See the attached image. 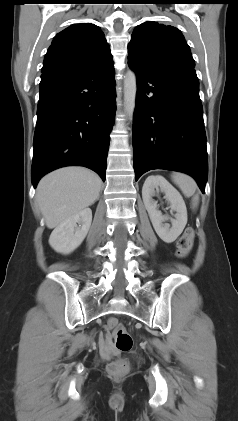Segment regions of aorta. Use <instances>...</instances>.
I'll list each match as a JSON object with an SVG mask.
<instances>
[{
    "mask_svg": "<svg viewBox=\"0 0 238 421\" xmlns=\"http://www.w3.org/2000/svg\"><path fill=\"white\" fill-rule=\"evenodd\" d=\"M137 83L136 75L128 70L124 79V106L127 116L132 119L136 105Z\"/></svg>",
    "mask_w": 238,
    "mask_h": 421,
    "instance_id": "762f6f07",
    "label": "aorta"
}]
</instances>
